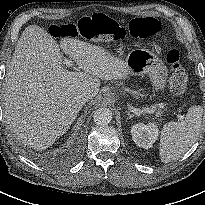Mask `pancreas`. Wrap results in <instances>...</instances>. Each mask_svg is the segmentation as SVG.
I'll use <instances>...</instances> for the list:
<instances>
[{
  "label": "pancreas",
  "instance_id": "1",
  "mask_svg": "<svg viewBox=\"0 0 205 205\" xmlns=\"http://www.w3.org/2000/svg\"><path fill=\"white\" fill-rule=\"evenodd\" d=\"M151 108L155 110V113L157 116H160L162 114V112L164 111L161 106L158 107V106L154 105Z\"/></svg>",
  "mask_w": 205,
  "mask_h": 205
}]
</instances>
